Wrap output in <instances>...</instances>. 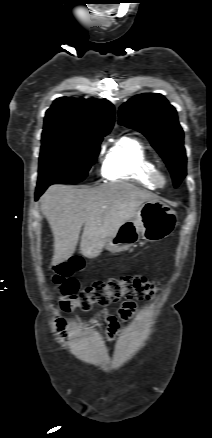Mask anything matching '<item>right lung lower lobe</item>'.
Returning a JSON list of instances; mask_svg holds the SVG:
<instances>
[{"instance_id":"right-lung-lower-lobe-1","label":"right lung lower lobe","mask_w":212,"mask_h":438,"mask_svg":"<svg viewBox=\"0 0 212 438\" xmlns=\"http://www.w3.org/2000/svg\"><path fill=\"white\" fill-rule=\"evenodd\" d=\"M48 186L49 185H37V189H36V193H35L36 200L43 194V192L46 190V188Z\"/></svg>"}]
</instances>
